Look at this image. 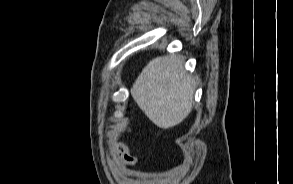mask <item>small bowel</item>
Returning <instances> with one entry per match:
<instances>
[{
	"label": "small bowel",
	"instance_id": "small-bowel-1",
	"mask_svg": "<svg viewBox=\"0 0 293 184\" xmlns=\"http://www.w3.org/2000/svg\"><path fill=\"white\" fill-rule=\"evenodd\" d=\"M128 164L131 165V164H134V162L128 163ZM124 165H125V163L122 160H116L111 163V168H112L114 174L117 177H119L120 179H124L126 176V171L124 170Z\"/></svg>",
	"mask_w": 293,
	"mask_h": 184
}]
</instances>
